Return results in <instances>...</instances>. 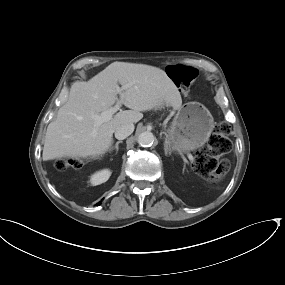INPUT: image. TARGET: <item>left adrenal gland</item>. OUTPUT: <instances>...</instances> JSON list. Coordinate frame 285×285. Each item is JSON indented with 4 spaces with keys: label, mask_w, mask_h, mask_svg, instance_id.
<instances>
[{
    "label": "left adrenal gland",
    "mask_w": 285,
    "mask_h": 285,
    "mask_svg": "<svg viewBox=\"0 0 285 285\" xmlns=\"http://www.w3.org/2000/svg\"><path fill=\"white\" fill-rule=\"evenodd\" d=\"M164 150H165V155H167L168 153L170 154V151L167 145L164 146Z\"/></svg>",
    "instance_id": "left-adrenal-gland-1"
}]
</instances>
